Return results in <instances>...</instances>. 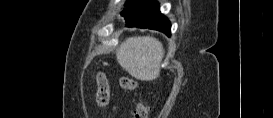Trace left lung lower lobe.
Instances as JSON below:
<instances>
[{
	"label": "left lung lower lobe",
	"mask_w": 273,
	"mask_h": 118,
	"mask_svg": "<svg viewBox=\"0 0 273 118\" xmlns=\"http://www.w3.org/2000/svg\"><path fill=\"white\" fill-rule=\"evenodd\" d=\"M127 27H139V28H149L153 30H158L160 32H163L167 36L171 35V24L170 21L160 12L149 17L148 19L141 21V22H135V23H129L126 24Z\"/></svg>",
	"instance_id": "0a47b994"
}]
</instances>
